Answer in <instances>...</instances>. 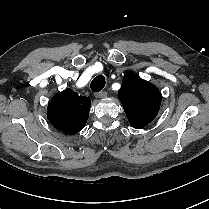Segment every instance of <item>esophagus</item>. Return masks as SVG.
<instances>
[{
    "instance_id": "1",
    "label": "esophagus",
    "mask_w": 209,
    "mask_h": 209,
    "mask_svg": "<svg viewBox=\"0 0 209 209\" xmlns=\"http://www.w3.org/2000/svg\"><path fill=\"white\" fill-rule=\"evenodd\" d=\"M95 96H96L97 98H103V97H106V96H107V92H105V91H100V92H97V93L95 94Z\"/></svg>"
}]
</instances>
